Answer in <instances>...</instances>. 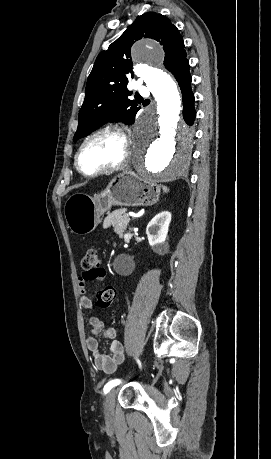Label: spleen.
I'll return each instance as SVG.
<instances>
[{"label": "spleen", "mask_w": 271, "mask_h": 459, "mask_svg": "<svg viewBox=\"0 0 271 459\" xmlns=\"http://www.w3.org/2000/svg\"><path fill=\"white\" fill-rule=\"evenodd\" d=\"M162 190L163 192H165V194H167V192H169L168 188H166V186H162Z\"/></svg>", "instance_id": "spleen-1"}]
</instances>
